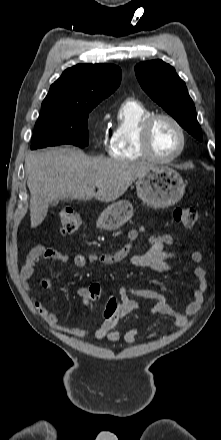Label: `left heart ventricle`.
<instances>
[{"label":"left heart ventricle","mask_w":221,"mask_h":440,"mask_svg":"<svg viewBox=\"0 0 221 440\" xmlns=\"http://www.w3.org/2000/svg\"><path fill=\"white\" fill-rule=\"evenodd\" d=\"M151 144L156 155L169 157L180 146V135L177 128L166 119H159L151 132Z\"/></svg>","instance_id":"obj_1"}]
</instances>
